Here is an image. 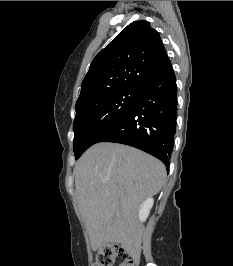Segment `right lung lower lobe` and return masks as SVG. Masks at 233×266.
<instances>
[{
    "label": "right lung lower lobe",
    "mask_w": 233,
    "mask_h": 266,
    "mask_svg": "<svg viewBox=\"0 0 233 266\" xmlns=\"http://www.w3.org/2000/svg\"><path fill=\"white\" fill-rule=\"evenodd\" d=\"M172 66L144 86L131 108L98 139L141 149L160 159L169 172L177 106Z\"/></svg>",
    "instance_id": "obj_1"
}]
</instances>
